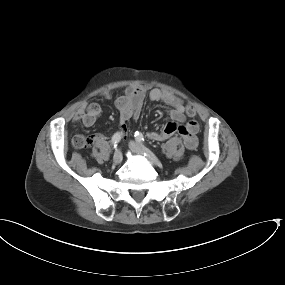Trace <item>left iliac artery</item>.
<instances>
[{"mask_svg": "<svg viewBox=\"0 0 285 285\" xmlns=\"http://www.w3.org/2000/svg\"><path fill=\"white\" fill-rule=\"evenodd\" d=\"M134 136H135L136 141H138L139 143L144 142V137H143L142 133L137 131V132H135Z\"/></svg>", "mask_w": 285, "mask_h": 285, "instance_id": "1", "label": "left iliac artery"}]
</instances>
